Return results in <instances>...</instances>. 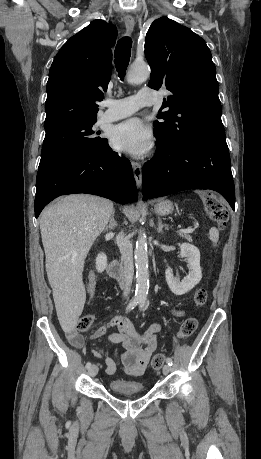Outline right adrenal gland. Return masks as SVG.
<instances>
[{
  "mask_svg": "<svg viewBox=\"0 0 261 459\" xmlns=\"http://www.w3.org/2000/svg\"><path fill=\"white\" fill-rule=\"evenodd\" d=\"M117 226H118V223L115 220V211H113V213H112V215L110 217V220H109V224L106 226V230H113Z\"/></svg>",
  "mask_w": 261,
  "mask_h": 459,
  "instance_id": "right-adrenal-gland-1",
  "label": "right adrenal gland"
}]
</instances>
